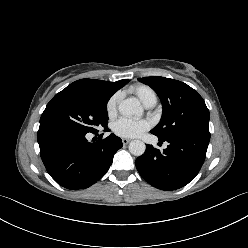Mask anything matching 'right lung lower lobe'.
<instances>
[{
  "mask_svg": "<svg viewBox=\"0 0 248 248\" xmlns=\"http://www.w3.org/2000/svg\"><path fill=\"white\" fill-rule=\"evenodd\" d=\"M84 133L60 127L39 128L40 155L50 176L61 186L85 189L109 169L114 154L123 146L119 137L109 135L90 143Z\"/></svg>",
  "mask_w": 248,
  "mask_h": 248,
  "instance_id": "98d812e1",
  "label": "right lung lower lobe"
}]
</instances>
